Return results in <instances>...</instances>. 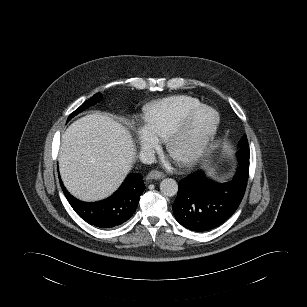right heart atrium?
<instances>
[{
    "instance_id": "obj_1",
    "label": "right heart atrium",
    "mask_w": 307,
    "mask_h": 307,
    "mask_svg": "<svg viewBox=\"0 0 307 307\" xmlns=\"http://www.w3.org/2000/svg\"><path fill=\"white\" fill-rule=\"evenodd\" d=\"M138 137L142 153L146 156H151L158 148V141L153 138L145 128L139 129Z\"/></svg>"
}]
</instances>
